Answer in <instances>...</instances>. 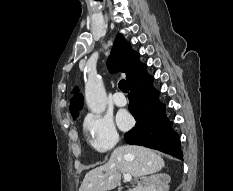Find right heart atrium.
Instances as JSON below:
<instances>
[{"label": "right heart atrium", "instance_id": "obj_1", "mask_svg": "<svg viewBox=\"0 0 233 191\" xmlns=\"http://www.w3.org/2000/svg\"><path fill=\"white\" fill-rule=\"evenodd\" d=\"M84 130L91 146L100 153L111 150L119 140L113 120L106 115L89 114L84 121Z\"/></svg>", "mask_w": 233, "mask_h": 191}]
</instances>
